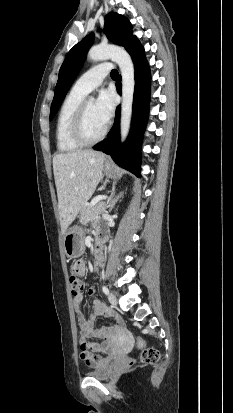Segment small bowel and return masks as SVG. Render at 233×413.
<instances>
[{
  "instance_id": "1",
  "label": "small bowel",
  "mask_w": 233,
  "mask_h": 413,
  "mask_svg": "<svg viewBox=\"0 0 233 413\" xmlns=\"http://www.w3.org/2000/svg\"><path fill=\"white\" fill-rule=\"evenodd\" d=\"M75 264L71 269L73 276H80L86 273L85 263L81 256L75 257ZM89 294L93 295L94 290L91 288ZM84 296L82 293L73 294L74 311L80 327L79 343L80 358L86 365L92 368H103L109 364L114 356L122 349L121 338V317L102 301L94 299L91 304V313L85 317L81 309ZM104 316L113 320L112 325L95 328L96 319ZM91 338H99L102 341H89Z\"/></svg>"
}]
</instances>
